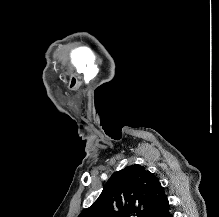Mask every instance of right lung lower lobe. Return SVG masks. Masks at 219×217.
<instances>
[{
  "label": "right lung lower lobe",
  "mask_w": 219,
  "mask_h": 217,
  "mask_svg": "<svg viewBox=\"0 0 219 217\" xmlns=\"http://www.w3.org/2000/svg\"><path fill=\"white\" fill-rule=\"evenodd\" d=\"M162 217H173L172 214L169 212V209L162 215Z\"/></svg>",
  "instance_id": "obj_1"
}]
</instances>
